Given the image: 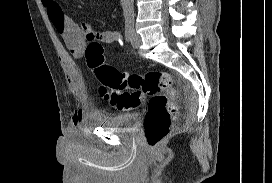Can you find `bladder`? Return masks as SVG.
I'll list each match as a JSON object with an SVG mask.
<instances>
[{
  "label": "bladder",
  "mask_w": 272,
  "mask_h": 183,
  "mask_svg": "<svg viewBox=\"0 0 272 183\" xmlns=\"http://www.w3.org/2000/svg\"><path fill=\"white\" fill-rule=\"evenodd\" d=\"M139 120L140 116L137 113L103 116L102 118L97 119L98 123L104 128L121 132H134Z\"/></svg>",
  "instance_id": "bladder-1"
}]
</instances>
